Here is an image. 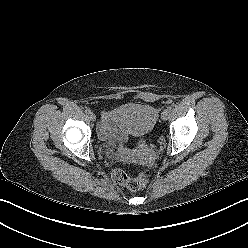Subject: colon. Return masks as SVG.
I'll list each match as a JSON object with an SVG mask.
<instances>
[{"mask_svg":"<svg viewBox=\"0 0 248 248\" xmlns=\"http://www.w3.org/2000/svg\"><path fill=\"white\" fill-rule=\"evenodd\" d=\"M112 179L116 184L124 186L131 191H137L143 188L147 183V177L144 174L131 177L126 171L117 169L112 174Z\"/></svg>","mask_w":248,"mask_h":248,"instance_id":"obj_1","label":"colon"}]
</instances>
